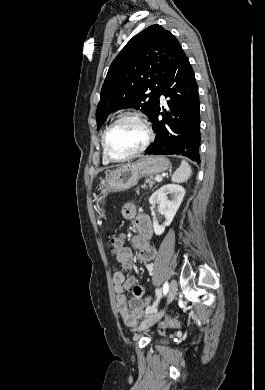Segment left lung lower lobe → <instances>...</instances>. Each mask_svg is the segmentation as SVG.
Masks as SVG:
<instances>
[{
  "instance_id": "left-lung-lower-lobe-1",
  "label": "left lung lower lobe",
  "mask_w": 265,
  "mask_h": 390,
  "mask_svg": "<svg viewBox=\"0 0 265 390\" xmlns=\"http://www.w3.org/2000/svg\"><path fill=\"white\" fill-rule=\"evenodd\" d=\"M164 95L169 111L160 113L159 97ZM199 94L189 59L183 52L158 92V103L151 118L155 141L146 149L148 155H182L200 163ZM159 115L163 119L159 120ZM174 116L175 118H170ZM166 124L171 128L169 132Z\"/></svg>"
}]
</instances>
